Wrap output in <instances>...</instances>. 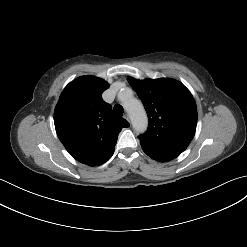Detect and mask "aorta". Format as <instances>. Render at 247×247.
<instances>
[{
    "label": "aorta",
    "instance_id": "762f6f07",
    "mask_svg": "<svg viewBox=\"0 0 247 247\" xmlns=\"http://www.w3.org/2000/svg\"><path fill=\"white\" fill-rule=\"evenodd\" d=\"M119 100L123 103L134 130L143 133L148 126V118L142 103L133 97L130 89H124L118 95Z\"/></svg>",
    "mask_w": 247,
    "mask_h": 247
}]
</instances>
